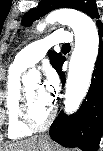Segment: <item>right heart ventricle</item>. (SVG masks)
<instances>
[{
  "mask_svg": "<svg viewBox=\"0 0 103 151\" xmlns=\"http://www.w3.org/2000/svg\"><path fill=\"white\" fill-rule=\"evenodd\" d=\"M25 67L15 60L9 68L5 91V107L7 113V135L10 139H20L31 134V130L23 126L19 118V104L21 94V75Z\"/></svg>",
  "mask_w": 103,
  "mask_h": 151,
  "instance_id": "1",
  "label": "right heart ventricle"
}]
</instances>
